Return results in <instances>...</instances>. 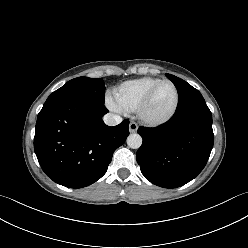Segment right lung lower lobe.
<instances>
[{
  "mask_svg": "<svg viewBox=\"0 0 248 248\" xmlns=\"http://www.w3.org/2000/svg\"><path fill=\"white\" fill-rule=\"evenodd\" d=\"M104 103L83 95L47 99L37 117L34 150L46 175L70 188L86 187L107 171L129 135V121L107 126Z\"/></svg>",
  "mask_w": 248,
  "mask_h": 248,
  "instance_id": "98d812e1",
  "label": "right lung lower lobe"
}]
</instances>
